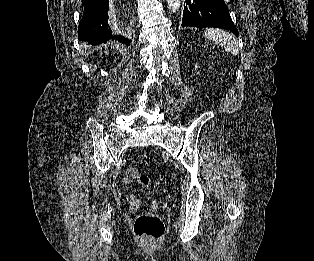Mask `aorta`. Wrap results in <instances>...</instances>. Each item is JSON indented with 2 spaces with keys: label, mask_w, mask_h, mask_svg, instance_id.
<instances>
[{
  "label": "aorta",
  "mask_w": 314,
  "mask_h": 261,
  "mask_svg": "<svg viewBox=\"0 0 314 261\" xmlns=\"http://www.w3.org/2000/svg\"><path fill=\"white\" fill-rule=\"evenodd\" d=\"M168 7L173 11L176 12L179 10L181 6V0H167Z\"/></svg>",
  "instance_id": "obj_1"
}]
</instances>
